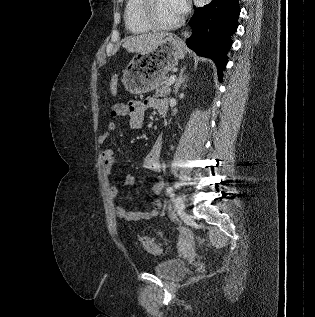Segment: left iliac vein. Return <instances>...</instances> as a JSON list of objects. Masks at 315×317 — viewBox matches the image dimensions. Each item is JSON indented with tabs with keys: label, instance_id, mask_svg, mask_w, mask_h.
<instances>
[{
	"label": "left iliac vein",
	"instance_id": "1",
	"mask_svg": "<svg viewBox=\"0 0 315 317\" xmlns=\"http://www.w3.org/2000/svg\"><path fill=\"white\" fill-rule=\"evenodd\" d=\"M174 207L177 212H182L185 208L184 200L181 196H177L174 200Z\"/></svg>",
	"mask_w": 315,
	"mask_h": 317
}]
</instances>
